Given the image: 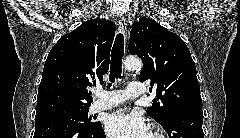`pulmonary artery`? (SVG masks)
I'll use <instances>...</instances> for the list:
<instances>
[{
  "mask_svg": "<svg viewBox=\"0 0 240 138\" xmlns=\"http://www.w3.org/2000/svg\"><path fill=\"white\" fill-rule=\"evenodd\" d=\"M144 86L141 82L132 81L126 90L105 91L98 89L95 91L98 99L92 104L94 112L107 110L124 103L129 98H135L144 94Z\"/></svg>",
  "mask_w": 240,
  "mask_h": 138,
  "instance_id": "1",
  "label": "pulmonary artery"
}]
</instances>
